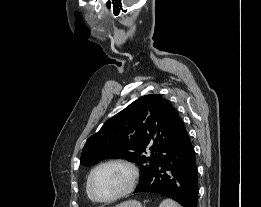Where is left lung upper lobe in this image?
I'll return each instance as SVG.
<instances>
[{"instance_id": "5c2ea615", "label": "left lung upper lobe", "mask_w": 261, "mask_h": 207, "mask_svg": "<svg viewBox=\"0 0 261 207\" xmlns=\"http://www.w3.org/2000/svg\"><path fill=\"white\" fill-rule=\"evenodd\" d=\"M184 123L161 95L140 97L109 119L85 143L80 164L91 166L107 158H123L140 165V181L174 148ZM150 146L151 155L145 156Z\"/></svg>"}]
</instances>
